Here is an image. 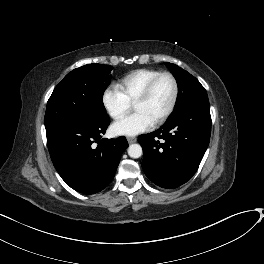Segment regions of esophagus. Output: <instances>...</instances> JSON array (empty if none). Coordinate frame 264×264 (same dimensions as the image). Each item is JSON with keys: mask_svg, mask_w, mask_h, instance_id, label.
Listing matches in <instances>:
<instances>
[{"mask_svg": "<svg viewBox=\"0 0 264 264\" xmlns=\"http://www.w3.org/2000/svg\"><path fill=\"white\" fill-rule=\"evenodd\" d=\"M127 141L129 144H132V143L136 142L137 139L135 137H127Z\"/></svg>", "mask_w": 264, "mask_h": 264, "instance_id": "34e87169", "label": "esophagus"}]
</instances>
